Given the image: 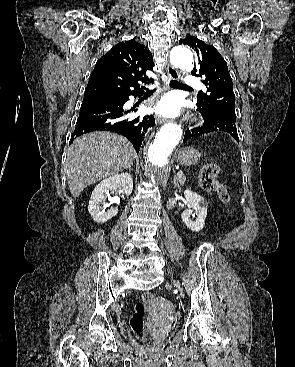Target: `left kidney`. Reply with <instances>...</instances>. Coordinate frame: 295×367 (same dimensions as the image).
Wrapping results in <instances>:
<instances>
[{
    "label": "left kidney",
    "mask_w": 295,
    "mask_h": 367,
    "mask_svg": "<svg viewBox=\"0 0 295 367\" xmlns=\"http://www.w3.org/2000/svg\"><path fill=\"white\" fill-rule=\"evenodd\" d=\"M184 196L187 203V209L181 215L182 221L191 231L199 232L205 225L207 201L202 196L189 189L184 191ZM192 211L197 215L196 220L190 218Z\"/></svg>",
    "instance_id": "1"
}]
</instances>
